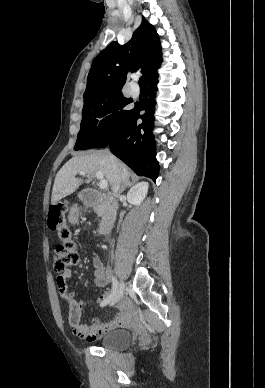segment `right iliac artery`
Returning <instances> with one entry per match:
<instances>
[{"label":"right iliac artery","mask_w":265,"mask_h":388,"mask_svg":"<svg viewBox=\"0 0 265 388\" xmlns=\"http://www.w3.org/2000/svg\"><path fill=\"white\" fill-rule=\"evenodd\" d=\"M111 277V280H112V291H111V296H110V299H112L114 297V295L116 294L117 290H118V281L115 277L113 276H110ZM109 301H107L106 303L102 304L101 306H104L108 303Z\"/></svg>","instance_id":"obj_1"}]
</instances>
